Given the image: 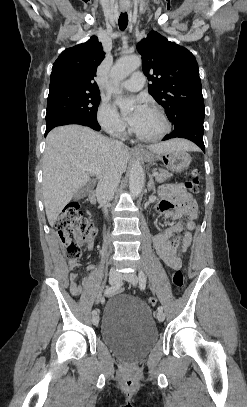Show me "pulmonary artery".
Listing matches in <instances>:
<instances>
[{"mask_svg":"<svg viewBox=\"0 0 247 407\" xmlns=\"http://www.w3.org/2000/svg\"><path fill=\"white\" fill-rule=\"evenodd\" d=\"M145 83V77L142 72H135L131 77L121 83V86L126 90L136 92L139 91Z\"/></svg>","mask_w":247,"mask_h":407,"instance_id":"1","label":"pulmonary artery"}]
</instances>
